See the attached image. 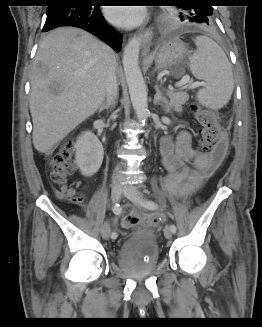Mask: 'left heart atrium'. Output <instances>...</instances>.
<instances>
[{"mask_svg":"<svg viewBox=\"0 0 262 327\" xmlns=\"http://www.w3.org/2000/svg\"><path fill=\"white\" fill-rule=\"evenodd\" d=\"M106 16L117 26L131 28L144 20L145 11L141 7H108Z\"/></svg>","mask_w":262,"mask_h":327,"instance_id":"1","label":"left heart atrium"}]
</instances>
